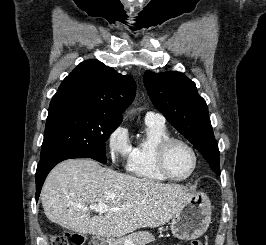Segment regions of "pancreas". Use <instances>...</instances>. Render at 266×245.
I'll return each mask as SVG.
<instances>
[{
    "label": "pancreas",
    "instance_id": "pancreas-1",
    "mask_svg": "<svg viewBox=\"0 0 266 245\" xmlns=\"http://www.w3.org/2000/svg\"><path fill=\"white\" fill-rule=\"evenodd\" d=\"M128 239H132L133 245H148V243H153L155 241L154 235L149 233V231H138V233H132L129 235ZM124 239H117V241H112L110 245H123Z\"/></svg>",
    "mask_w": 266,
    "mask_h": 245
}]
</instances>
